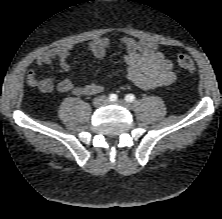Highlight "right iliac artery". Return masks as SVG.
Segmentation results:
<instances>
[{
  "mask_svg": "<svg viewBox=\"0 0 222 219\" xmlns=\"http://www.w3.org/2000/svg\"><path fill=\"white\" fill-rule=\"evenodd\" d=\"M109 100L112 101V102L116 101L117 100V95L116 94H111L109 96Z\"/></svg>",
  "mask_w": 222,
  "mask_h": 219,
  "instance_id": "82829eb1",
  "label": "right iliac artery"
}]
</instances>
